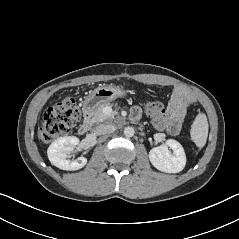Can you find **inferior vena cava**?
I'll use <instances>...</instances> for the list:
<instances>
[{"instance_id": "1", "label": "inferior vena cava", "mask_w": 239, "mask_h": 239, "mask_svg": "<svg viewBox=\"0 0 239 239\" xmlns=\"http://www.w3.org/2000/svg\"><path fill=\"white\" fill-rule=\"evenodd\" d=\"M115 126L112 124H101L97 127L96 133L99 135L113 133L115 131Z\"/></svg>"}]
</instances>
